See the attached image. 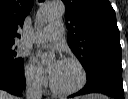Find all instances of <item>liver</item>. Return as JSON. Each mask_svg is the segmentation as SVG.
<instances>
[{
  "label": "liver",
  "mask_w": 128,
  "mask_h": 99,
  "mask_svg": "<svg viewBox=\"0 0 128 99\" xmlns=\"http://www.w3.org/2000/svg\"><path fill=\"white\" fill-rule=\"evenodd\" d=\"M107 99L105 96L99 95V94H93L89 95L87 97H84V99ZM0 99H16L14 96L8 94L5 91L0 90Z\"/></svg>",
  "instance_id": "obj_1"
}]
</instances>
